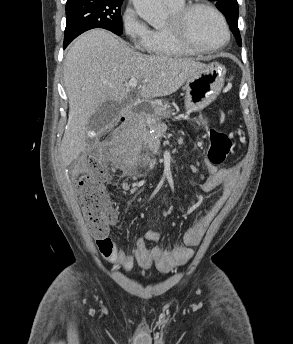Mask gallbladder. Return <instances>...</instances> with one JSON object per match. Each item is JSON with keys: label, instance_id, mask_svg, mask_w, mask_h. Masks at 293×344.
Wrapping results in <instances>:
<instances>
[{"label": "gallbladder", "instance_id": "gallbladder-1", "mask_svg": "<svg viewBox=\"0 0 293 344\" xmlns=\"http://www.w3.org/2000/svg\"><path fill=\"white\" fill-rule=\"evenodd\" d=\"M121 110L116 101H107L100 105L88 121V129L98 132L109 125Z\"/></svg>", "mask_w": 293, "mask_h": 344}]
</instances>
